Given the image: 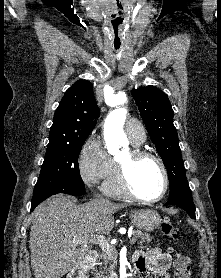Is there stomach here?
<instances>
[{
    "instance_id": "stomach-1",
    "label": "stomach",
    "mask_w": 221,
    "mask_h": 278,
    "mask_svg": "<svg viewBox=\"0 0 221 278\" xmlns=\"http://www.w3.org/2000/svg\"><path fill=\"white\" fill-rule=\"evenodd\" d=\"M129 216L138 229L146 232L157 229L162 221L160 215L151 209L131 210Z\"/></svg>"
}]
</instances>
